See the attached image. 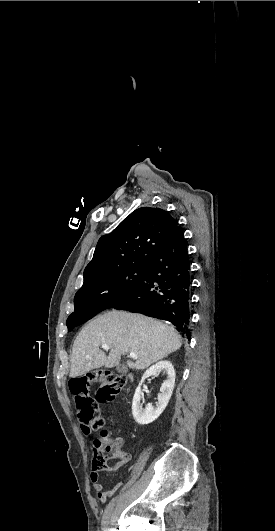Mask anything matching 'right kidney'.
I'll list each match as a JSON object with an SVG mask.
<instances>
[{
    "mask_svg": "<svg viewBox=\"0 0 275 531\" xmlns=\"http://www.w3.org/2000/svg\"><path fill=\"white\" fill-rule=\"evenodd\" d=\"M158 371H164V373H166L167 375V381H164V383H162L160 395H158V403H156V407H152V403H148L145 409H142L141 385H143L145 379H148V377H152V375H156ZM174 385L175 371L170 361H159V363H156V365H152V367H149L146 373H144L135 391V395L132 401V415L136 423H139V425H149V423H153V421H156V419L160 417L161 413H163L164 409H166L171 399Z\"/></svg>",
    "mask_w": 275,
    "mask_h": 531,
    "instance_id": "1",
    "label": "right kidney"
}]
</instances>
